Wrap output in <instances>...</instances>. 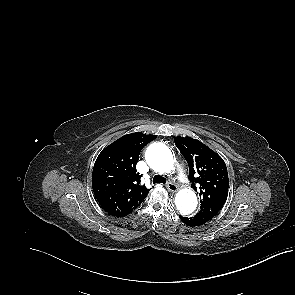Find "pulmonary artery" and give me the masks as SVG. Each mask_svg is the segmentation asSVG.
<instances>
[{
    "label": "pulmonary artery",
    "mask_w": 295,
    "mask_h": 295,
    "mask_svg": "<svg viewBox=\"0 0 295 295\" xmlns=\"http://www.w3.org/2000/svg\"><path fill=\"white\" fill-rule=\"evenodd\" d=\"M176 169H177V174H178L179 180L181 182H183V183H188V179H187V177H186V175L184 173V170H183L182 166L181 165H177V168Z\"/></svg>",
    "instance_id": "pulmonary-artery-1"
}]
</instances>
